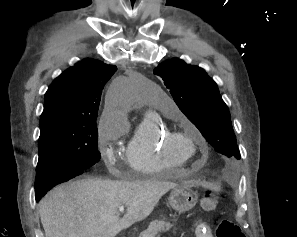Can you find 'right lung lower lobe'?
<instances>
[{"instance_id": "1", "label": "right lung lower lobe", "mask_w": 297, "mask_h": 237, "mask_svg": "<svg viewBox=\"0 0 297 237\" xmlns=\"http://www.w3.org/2000/svg\"><path fill=\"white\" fill-rule=\"evenodd\" d=\"M79 175H81L80 173H67V174H63V175H59L56 179L55 182L52 186L43 189V190H39L38 188H35V198L36 201L40 200L49 190H51L54 186L63 183V182H67L69 180H72L76 177H78Z\"/></svg>"}]
</instances>
